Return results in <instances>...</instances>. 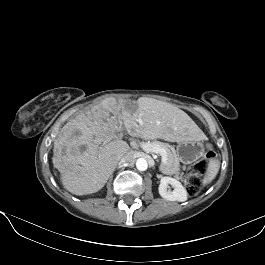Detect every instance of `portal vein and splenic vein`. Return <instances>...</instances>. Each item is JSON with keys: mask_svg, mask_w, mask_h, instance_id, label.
Here are the masks:
<instances>
[{"mask_svg": "<svg viewBox=\"0 0 265 265\" xmlns=\"http://www.w3.org/2000/svg\"><path fill=\"white\" fill-rule=\"evenodd\" d=\"M141 147L144 151L147 153H155L161 155V162L162 164L166 163L167 161V152L164 148L157 144H151V143H142Z\"/></svg>", "mask_w": 265, "mask_h": 265, "instance_id": "18ae733b", "label": "portal vein and splenic vein"}]
</instances>
